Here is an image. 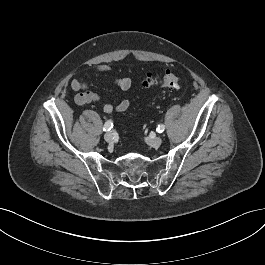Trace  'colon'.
<instances>
[{
    "mask_svg": "<svg viewBox=\"0 0 265 265\" xmlns=\"http://www.w3.org/2000/svg\"><path fill=\"white\" fill-rule=\"evenodd\" d=\"M143 85L145 87H161L167 90H178L185 86L184 81L172 72L159 78L151 73H147L143 78Z\"/></svg>",
    "mask_w": 265,
    "mask_h": 265,
    "instance_id": "1",
    "label": "colon"
}]
</instances>
